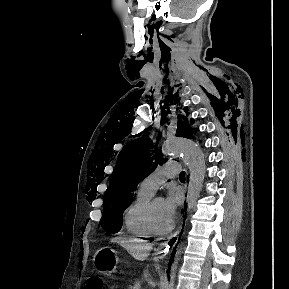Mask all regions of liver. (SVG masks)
I'll return each instance as SVG.
<instances>
[{"label": "liver", "instance_id": "6515ba94", "mask_svg": "<svg viewBox=\"0 0 289 289\" xmlns=\"http://www.w3.org/2000/svg\"><path fill=\"white\" fill-rule=\"evenodd\" d=\"M112 242H116L120 244L123 248H125L131 256L135 259L144 261L149 256V251L152 249V246L144 243L138 239H123V238H113Z\"/></svg>", "mask_w": 289, "mask_h": 289}]
</instances>
